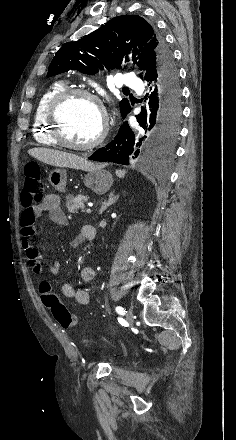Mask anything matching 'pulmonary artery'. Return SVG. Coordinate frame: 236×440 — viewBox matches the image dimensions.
Listing matches in <instances>:
<instances>
[{
    "label": "pulmonary artery",
    "mask_w": 236,
    "mask_h": 440,
    "mask_svg": "<svg viewBox=\"0 0 236 440\" xmlns=\"http://www.w3.org/2000/svg\"><path fill=\"white\" fill-rule=\"evenodd\" d=\"M117 86H123L134 90L141 88L140 81L131 73H126L117 77Z\"/></svg>",
    "instance_id": "obj_1"
}]
</instances>
